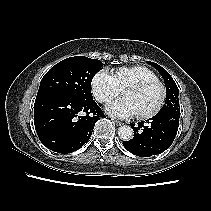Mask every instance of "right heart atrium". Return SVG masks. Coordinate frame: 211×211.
<instances>
[{"label": "right heart atrium", "instance_id": "obj_1", "mask_svg": "<svg viewBox=\"0 0 211 211\" xmlns=\"http://www.w3.org/2000/svg\"><path fill=\"white\" fill-rule=\"evenodd\" d=\"M91 91L98 102L108 103L119 95L121 89L114 75L108 70L102 69L93 76Z\"/></svg>", "mask_w": 211, "mask_h": 211}]
</instances>
